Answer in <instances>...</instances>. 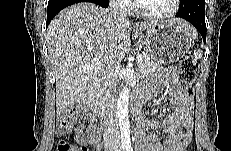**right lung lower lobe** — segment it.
I'll return each instance as SVG.
<instances>
[{
    "label": "right lung lower lobe",
    "instance_id": "98d812e1",
    "mask_svg": "<svg viewBox=\"0 0 231 151\" xmlns=\"http://www.w3.org/2000/svg\"><path fill=\"white\" fill-rule=\"evenodd\" d=\"M79 2H91L95 3L101 7H108L109 0H49L48 10H47V22L46 27L49 25L53 17L60 12L63 8L76 4Z\"/></svg>",
    "mask_w": 231,
    "mask_h": 151
}]
</instances>
